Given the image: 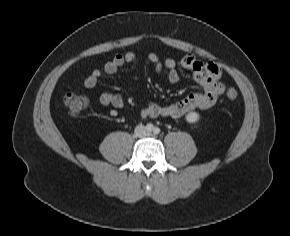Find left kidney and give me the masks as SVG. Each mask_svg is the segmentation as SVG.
<instances>
[{"instance_id":"5707ae66","label":"left kidney","mask_w":290,"mask_h":236,"mask_svg":"<svg viewBox=\"0 0 290 236\" xmlns=\"http://www.w3.org/2000/svg\"><path fill=\"white\" fill-rule=\"evenodd\" d=\"M200 119V115L197 112H190L186 115V120L189 123H196Z\"/></svg>"}]
</instances>
